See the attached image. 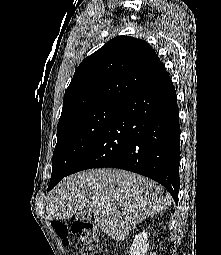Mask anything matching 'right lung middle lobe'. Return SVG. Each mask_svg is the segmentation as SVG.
Masks as SVG:
<instances>
[{
  "label": "right lung middle lobe",
  "instance_id": "right-lung-middle-lobe-1",
  "mask_svg": "<svg viewBox=\"0 0 221 255\" xmlns=\"http://www.w3.org/2000/svg\"><path fill=\"white\" fill-rule=\"evenodd\" d=\"M119 105V103H106L88 107L59 121L48 188L54 187L68 174L97 139Z\"/></svg>",
  "mask_w": 221,
  "mask_h": 255
}]
</instances>
